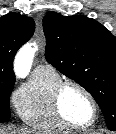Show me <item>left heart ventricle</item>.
Masks as SVG:
<instances>
[{
    "label": "left heart ventricle",
    "mask_w": 116,
    "mask_h": 134,
    "mask_svg": "<svg viewBox=\"0 0 116 134\" xmlns=\"http://www.w3.org/2000/svg\"><path fill=\"white\" fill-rule=\"evenodd\" d=\"M65 116L76 124H87L92 118V106L87 96L75 87H67L62 94Z\"/></svg>",
    "instance_id": "b2bd125f"
}]
</instances>
